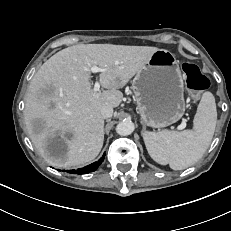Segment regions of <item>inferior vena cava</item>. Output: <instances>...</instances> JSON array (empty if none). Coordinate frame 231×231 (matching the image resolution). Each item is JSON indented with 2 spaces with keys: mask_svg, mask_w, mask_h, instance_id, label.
Returning a JSON list of instances; mask_svg holds the SVG:
<instances>
[{
  "mask_svg": "<svg viewBox=\"0 0 231 231\" xmlns=\"http://www.w3.org/2000/svg\"><path fill=\"white\" fill-rule=\"evenodd\" d=\"M101 115L104 119L110 118L113 115V108L110 106H104L101 108Z\"/></svg>",
  "mask_w": 231,
  "mask_h": 231,
  "instance_id": "inferior-vena-cava-1",
  "label": "inferior vena cava"
}]
</instances>
